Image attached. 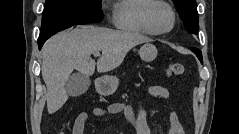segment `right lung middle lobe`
<instances>
[{"mask_svg":"<svg viewBox=\"0 0 239 134\" xmlns=\"http://www.w3.org/2000/svg\"><path fill=\"white\" fill-rule=\"evenodd\" d=\"M101 0H46L39 38L76 24L100 22Z\"/></svg>","mask_w":239,"mask_h":134,"instance_id":"right-lung-middle-lobe-1","label":"right lung middle lobe"}]
</instances>
